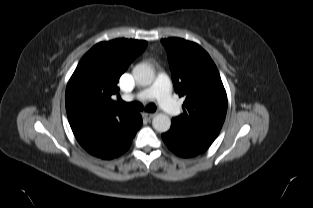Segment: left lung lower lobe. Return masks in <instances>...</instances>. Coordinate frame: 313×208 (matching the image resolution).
I'll list each match as a JSON object with an SVG mask.
<instances>
[{
    "label": "left lung lower lobe",
    "instance_id": "obj_1",
    "mask_svg": "<svg viewBox=\"0 0 313 208\" xmlns=\"http://www.w3.org/2000/svg\"><path fill=\"white\" fill-rule=\"evenodd\" d=\"M162 139L173 153L186 158L205 152L215 140L209 136L190 134L172 123L170 130L162 134Z\"/></svg>",
    "mask_w": 313,
    "mask_h": 208
}]
</instances>
